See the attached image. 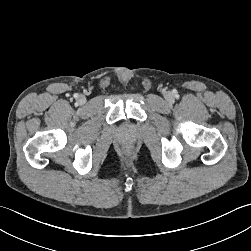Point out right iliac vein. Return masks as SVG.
I'll list each match as a JSON object with an SVG mask.
<instances>
[{
	"label": "right iliac vein",
	"instance_id": "right-iliac-vein-1",
	"mask_svg": "<svg viewBox=\"0 0 251 251\" xmlns=\"http://www.w3.org/2000/svg\"><path fill=\"white\" fill-rule=\"evenodd\" d=\"M78 102H79L80 104H84V103L86 102V98H85L84 96H80V97L78 98Z\"/></svg>",
	"mask_w": 251,
	"mask_h": 251
}]
</instances>
